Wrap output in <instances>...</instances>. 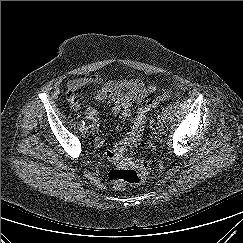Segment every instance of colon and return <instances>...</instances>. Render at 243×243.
Returning a JSON list of instances; mask_svg holds the SVG:
<instances>
[{"mask_svg": "<svg viewBox=\"0 0 243 243\" xmlns=\"http://www.w3.org/2000/svg\"><path fill=\"white\" fill-rule=\"evenodd\" d=\"M170 97V92L163 90L158 96L149 98L138 109L128 134L107 151V159L113 164V168L109 172V179L116 189H122L126 184H140L148 175L150 171L149 162L147 160H136L129 156L128 152L139 144L148 112L169 100Z\"/></svg>", "mask_w": 243, "mask_h": 243, "instance_id": "5ec220e1", "label": "colon"}]
</instances>
